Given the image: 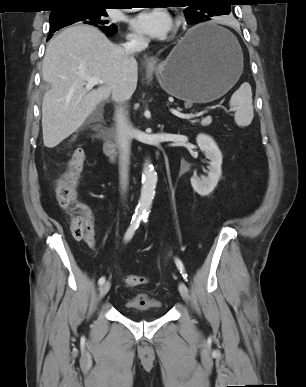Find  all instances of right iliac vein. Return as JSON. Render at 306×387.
I'll list each match as a JSON object with an SVG mask.
<instances>
[{
	"label": "right iliac vein",
	"mask_w": 306,
	"mask_h": 387,
	"mask_svg": "<svg viewBox=\"0 0 306 387\" xmlns=\"http://www.w3.org/2000/svg\"><path fill=\"white\" fill-rule=\"evenodd\" d=\"M110 286H111V284H110L109 281L103 283V284L100 286V288H99V298H100V299H102V298L108 293V291H109V289H110Z\"/></svg>",
	"instance_id": "1"
}]
</instances>
